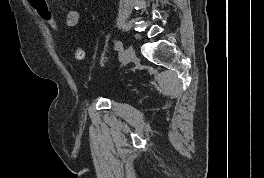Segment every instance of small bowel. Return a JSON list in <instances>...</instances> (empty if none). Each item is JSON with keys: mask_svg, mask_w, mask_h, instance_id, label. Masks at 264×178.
Wrapping results in <instances>:
<instances>
[{"mask_svg": "<svg viewBox=\"0 0 264 178\" xmlns=\"http://www.w3.org/2000/svg\"><path fill=\"white\" fill-rule=\"evenodd\" d=\"M79 20H80V13L75 9L70 10L65 18V26L67 28H73L78 24Z\"/></svg>", "mask_w": 264, "mask_h": 178, "instance_id": "small-bowel-1", "label": "small bowel"}]
</instances>
